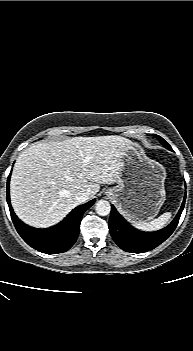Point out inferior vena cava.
<instances>
[{"mask_svg":"<svg viewBox=\"0 0 193 351\" xmlns=\"http://www.w3.org/2000/svg\"><path fill=\"white\" fill-rule=\"evenodd\" d=\"M89 195H90V193L86 190L80 191L76 195V199H77L78 203L81 204V203L86 202L89 199Z\"/></svg>","mask_w":193,"mask_h":351,"instance_id":"602c4592","label":"inferior vena cava"}]
</instances>
